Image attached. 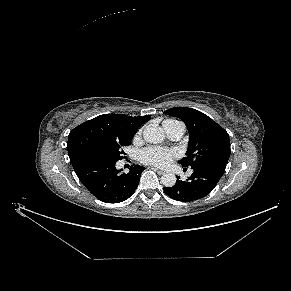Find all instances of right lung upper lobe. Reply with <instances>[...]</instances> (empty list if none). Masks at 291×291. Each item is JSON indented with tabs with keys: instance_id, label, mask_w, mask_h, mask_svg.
Here are the masks:
<instances>
[{
	"instance_id": "1",
	"label": "right lung upper lobe",
	"mask_w": 291,
	"mask_h": 291,
	"mask_svg": "<svg viewBox=\"0 0 291 291\" xmlns=\"http://www.w3.org/2000/svg\"><path fill=\"white\" fill-rule=\"evenodd\" d=\"M149 115L103 114L74 128L67 142L70 161L90 154L91 150L115 140L131 139Z\"/></svg>"
}]
</instances>
